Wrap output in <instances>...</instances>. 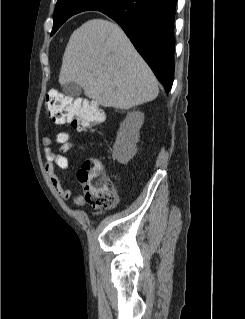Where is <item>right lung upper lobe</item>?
<instances>
[{
    "label": "right lung upper lobe",
    "instance_id": "1",
    "mask_svg": "<svg viewBox=\"0 0 245 319\" xmlns=\"http://www.w3.org/2000/svg\"><path fill=\"white\" fill-rule=\"evenodd\" d=\"M58 1H61V0H58ZM65 1H69V2L72 3V4L70 5V7L68 8V9H69V14H68L67 19H68L69 17L73 16L74 14H77V13L83 11V8L79 6L83 0H65ZM102 10H104V9H102ZM100 11H101V10H100ZM67 19H66V20H67ZM66 20H65V21H66ZM65 21H64V22H65Z\"/></svg>",
    "mask_w": 245,
    "mask_h": 319
}]
</instances>
